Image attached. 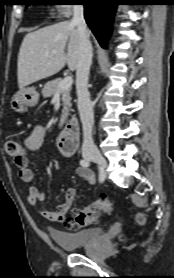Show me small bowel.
<instances>
[{
	"label": "small bowel",
	"mask_w": 174,
	"mask_h": 278,
	"mask_svg": "<svg viewBox=\"0 0 174 278\" xmlns=\"http://www.w3.org/2000/svg\"><path fill=\"white\" fill-rule=\"evenodd\" d=\"M43 136L44 129L41 126H36L23 143V147L27 152L26 156L14 159L20 179L23 182L30 184L27 196V202L30 205H36L38 202L45 199V193L33 183L35 175L30 168L29 162L30 155L41 146ZM76 174L90 185H93L96 182L95 174L89 168L80 166L76 169ZM75 196L76 191L73 188H68L65 192V198L62 204L58 205L52 211L41 210L38 211V213L41 217L50 222L62 223L66 219V215L74 202Z\"/></svg>",
	"instance_id": "1"
}]
</instances>
